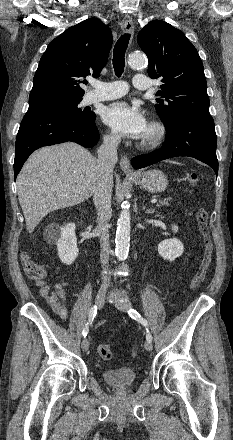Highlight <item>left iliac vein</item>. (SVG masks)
I'll return each instance as SVG.
<instances>
[{"label":"left iliac vein","mask_w":233,"mask_h":440,"mask_svg":"<svg viewBox=\"0 0 233 440\" xmlns=\"http://www.w3.org/2000/svg\"><path fill=\"white\" fill-rule=\"evenodd\" d=\"M114 305L117 309L124 311V312L128 311V308L130 306L129 303L122 302L121 300H115ZM144 346L147 351H152V349H153V345H152L151 341H146Z\"/></svg>","instance_id":"left-iliac-vein-1"}]
</instances>
